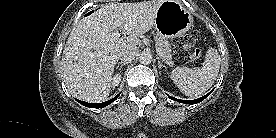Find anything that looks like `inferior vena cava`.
Segmentation results:
<instances>
[{"label": "inferior vena cava", "mask_w": 276, "mask_h": 138, "mask_svg": "<svg viewBox=\"0 0 276 138\" xmlns=\"http://www.w3.org/2000/svg\"><path fill=\"white\" fill-rule=\"evenodd\" d=\"M137 52H138L137 47L124 49L119 52L118 58L124 62H130L135 58V56L137 55Z\"/></svg>", "instance_id": "obj_1"}]
</instances>
